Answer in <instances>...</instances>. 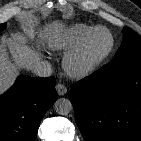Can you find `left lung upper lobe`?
Returning a JSON list of instances; mask_svg holds the SVG:
<instances>
[{
  "label": "left lung upper lobe",
  "mask_w": 141,
  "mask_h": 141,
  "mask_svg": "<svg viewBox=\"0 0 141 141\" xmlns=\"http://www.w3.org/2000/svg\"><path fill=\"white\" fill-rule=\"evenodd\" d=\"M134 56H141V37L130 28L125 27L122 45L115 54L113 62Z\"/></svg>",
  "instance_id": "1"
}]
</instances>
